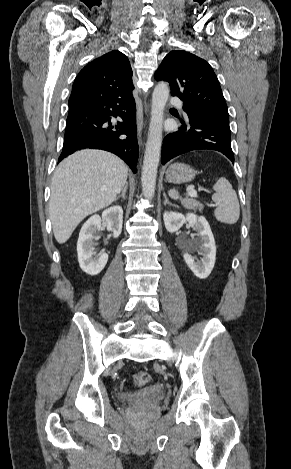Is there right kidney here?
I'll list each match as a JSON object with an SVG mask.
<instances>
[{"label": "right kidney", "mask_w": 291, "mask_h": 469, "mask_svg": "<svg viewBox=\"0 0 291 469\" xmlns=\"http://www.w3.org/2000/svg\"><path fill=\"white\" fill-rule=\"evenodd\" d=\"M102 220L107 229L117 238L122 231L123 209L121 206H113L103 211L102 216H91L82 226L77 242L78 262L80 268L89 275L99 274L108 261V254L101 252L96 256L95 234L101 229Z\"/></svg>", "instance_id": "obj_1"}]
</instances>
